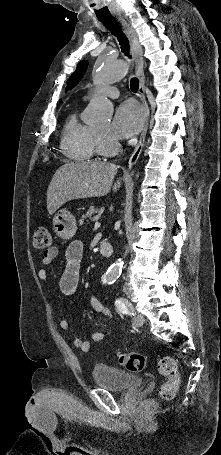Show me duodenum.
I'll return each instance as SVG.
<instances>
[{
    "label": "duodenum",
    "instance_id": "obj_1",
    "mask_svg": "<svg viewBox=\"0 0 221 455\" xmlns=\"http://www.w3.org/2000/svg\"><path fill=\"white\" fill-rule=\"evenodd\" d=\"M99 253L104 257H111L113 253L112 245L108 242H103L99 245Z\"/></svg>",
    "mask_w": 221,
    "mask_h": 455
}]
</instances>
